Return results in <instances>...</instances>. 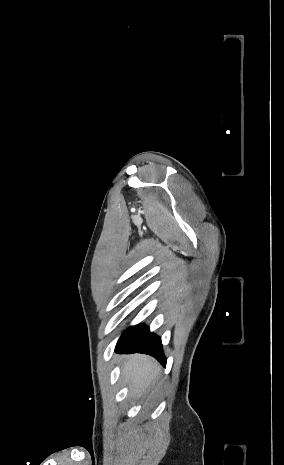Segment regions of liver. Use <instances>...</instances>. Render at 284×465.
I'll use <instances>...</instances> for the list:
<instances>
[{"mask_svg": "<svg viewBox=\"0 0 284 465\" xmlns=\"http://www.w3.org/2000/svg\"><path fill=\"white\" fill-rule=\"evenodd\" d=\"M122 373L126 383H132L131 387L134 395L136 397H143V395L148 393V389L154 387L160 369L151 357H146V355H130L124 363Z\"/></svg>", "mask_w": 284, "mask_h": 465, "instance_id": "1", "label": "liver"}]
</instances>
